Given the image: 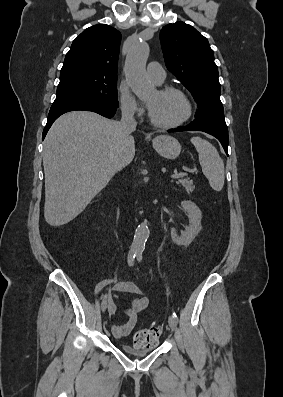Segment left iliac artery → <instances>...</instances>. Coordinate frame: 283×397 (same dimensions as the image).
<instances>
[{
    "label": "left iliac artery",
    "instance_id": "44dca946",
    "mask_svg": "<svg viewBox=\"0 0 283 397\" xmlns=\"http://www.w3.org/2000/svg\"><path fill=\"white\" fill-rule=\"evenodd\" d=\"M137 260H138L139 262L142 261V251H138V252H137ZM173 316L175 317L176 321L178 322V317H177V315H176L175 312H173Z\"/></svg>",
    "mask_w": 283,
    "mask_h": 397
}]
</instances>
